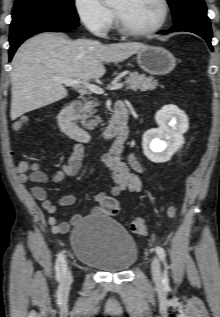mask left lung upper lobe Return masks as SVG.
Instances as JSON below:
<instances>
[{
	"label": "left lung upper lobe",
	"instance_id": "left-lung-upper-lobe-1",
	"mask_svg": "<svg viewBox=\"0 0 220 317\" xmlns=\"http://www.w3.org/2000/svg\"><path fill=\"white\" fill-rule=\"evenodd\" d=\"M173 13L174 23H178L193 12H206L203 0H167Z\"/></svg>",
	"mask_w": 220,
	"mask_h": 317
}]
</instances>
